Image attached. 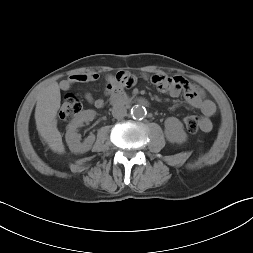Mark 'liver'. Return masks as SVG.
<instances>
[{
    "label": "liver",
    "mask_w": 253,
    "mask_h": 253,
    "mask_svg": "<svg viewBox=\"0 0 253 253\" xmlns=\"http://www.w3.org/2000/svg\"><path fill=\"white\" fill-rule=\"evenodd\" d=\"M61 94L57 82L43 87L37 95L35 120L39 135L50 149L59 154L65 148L61 134L57 128V112L60 108Z\"/></svg>",
    "instance_id": "liver-1"
}]
</instances>
